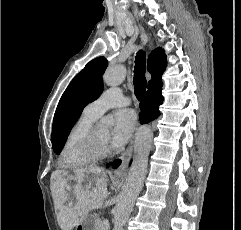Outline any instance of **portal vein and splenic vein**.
I'll use <instances>...</instances> for the list:
<instances>
[{
	"label": "portal vein and splenic vein",
	"mask_w": 241,
	"mask_h": 230,
	"mask_svg": "<svg viewBox=\"0 0 241 230\" xmlns=\"http://www.w3.org/2000/svg\"><path fill=\"white\" fill-rule=\"evenodd\" d=\"M103 224L105 227H109V221L105 220Z\"/></svg>",
	"instance_id": "obj_1"
}]
</instances>
